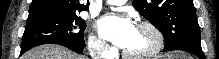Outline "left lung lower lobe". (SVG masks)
Listing matches in <instances>:
<instances>
[{"label":"left lung lower lobe","instance_id":"0a47b994","mask_svg":"<svg viewBox=\"0 0 219 59\" xmlns=\"http://www.w3.org/2000/svg\"><path fill=\"white\" fill-rule=\"evenodd\" d=\"M182 50L196 55L199 59H205L200 44V38H187L179 40L169 47L164 48L163 52Z\"/></svg>","mask_w":219,"mask_h":59}]
</instances>
